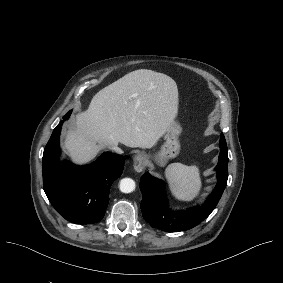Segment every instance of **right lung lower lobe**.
<instances>
[{
  "mask_svg": "<svg viewBox=\"0 0 283 283\" xmlns=\"http://www.w3.org/2000/svg\"><path fill=\"white\" fill-rule=\"evenodd\" d=\"M70 114L71 111L63 117V121ZM63 121L54 129L44 149V191L66 220L77 224L96 223L105 215L110 187L122 174L125 157L106 152L86 166L59 162V135Z\"/></svg>",
  "mask_w": 283,
  "mask_h": 283,
  "instance_id": "obj_1",
  "label": "right lung lower lobe"
}]
</instances>
